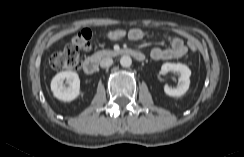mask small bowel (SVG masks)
Returning <instances> with one entry per match:
<instances>
[{"instance_id": "small-bowel-1", "label": "small bowel", "mask_w": 244, "mask_h": 157, "mask_svg": "<svg viewBox=\"0 0 244 157\" xmlns=\"http://www.w3.org/2000/svg\"><path fill=\"white\" fill-rule=\"evenodd\" d=\"M150 34L139 28H133L128 31V38L133 41L141 40L145 37H149ZM170 46L167 48H153L151 50L150 56L153 60H171L184 56L187 52V47L185 46L182 39L179 37H169L168 38Z\"/></svg>"}]
</instances>
